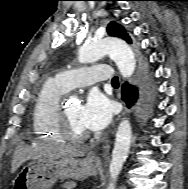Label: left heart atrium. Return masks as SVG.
<instances>
[{
  "label": "left heart atrium",
  "instance_id": "1",
  "mask_svg": "<svg viewBox=\"0 0 188 189\" xmlns=\"http://www.w3.org/2000/svg\"><path fill=\"white\" fill-rule=\"evenodd\" d=\"M111 103L100 91H91L81 106L80 122L88 130L104 129L111 119Z\"/></svg>",
  "mask_w": 188,
  "mask_h": 189
}]
</instances>
